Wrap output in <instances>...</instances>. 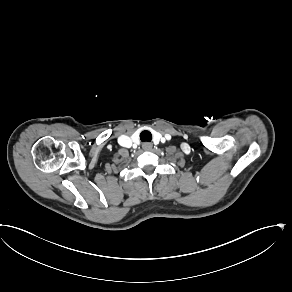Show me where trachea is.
I'll list each match as a JSON object with an SVG mask.
<instances>
[{
  "label": "trachea",
  "instance_id": "1",
  "mask_svg": "<svg viewBox=\"0 0 292 292\" xmlns=\"http://www.w3.org/2000/svg\"><path fill=\"white\" fill-rule=\"evenodd\" d=\"M140 140L142 142H150L152 140V134L149 131L144 130L140 133Z\"/></svg>",
  "mask_w": 292,
  "mask_h": 292
}]
</instances>
